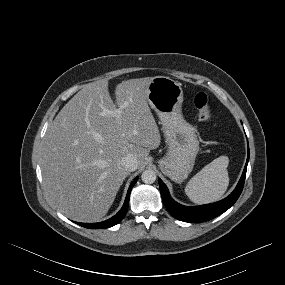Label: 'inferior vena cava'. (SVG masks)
Returning <instances> with one entry per match:
<instances>
[{
    "mask_svg": "<svg viewBox=\"0 0 285 285\" xmlns=\"http://www.w3.org/2000/svg\"><path fill=\"white\" fill-rule=\"evenodd\" d=\"M121 165L128 171H135L138 168V160L133 155L122 158Z\"/></svg>",
    "mask_w": 285,
    "mask_h": 285,
    "instance_id": "obj_1",
    "label": "inferior vena cava"
}]
</instances>
